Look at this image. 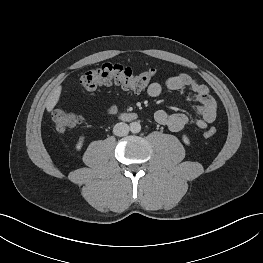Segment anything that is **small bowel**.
<instances>
[{
	"instance_id": "small-bowel-1",
	"label": "small bowel",
	"mask_w": 263,
	"mask_h": 263,
	"mask_svg": "<svg viewBox=\"0 0 263 263\" xmlns=\"http://www.w3.org/2000/svg\"><path fill=\"white\" fill-rule=\"evenodd\" d=\"M164 88L171 91L189 89L192 92L191 100L194 103L197 117L191 118L182 112L169 113L165 110H158L154 114V119L158 124L166 126L173 132H178L190 123L201 129L207 128L216 119L217 104L209 94V89L188 74L174 75L168 78L164 84L153 82L148 86L147 93L150 97H158ZM118 111L119 108L116 104H110L104 109V113L111 116L116 115Z\"/></svg>"
}]
</instances>
